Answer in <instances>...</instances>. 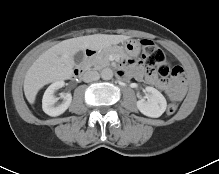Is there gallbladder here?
I'll return each instance as SVG.
<instances>
[{"label":"gallbladder","instance_id":"gallbladder-1","mask_svg":"<svg viewBox=\"0 0 219 174\" xmlns=\"http://www.w3.org/2000/svg\"><path fill=\"white\" fill-rule=\"evenodd\" d=\"M84 59V53L82 51L77 52L74 55V61L76 64H80Z\"/></svg>","mask_w":219,"mask_h":174}]
</instances>
